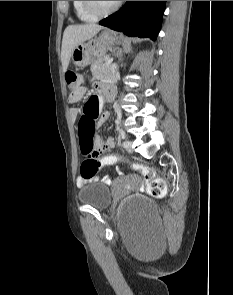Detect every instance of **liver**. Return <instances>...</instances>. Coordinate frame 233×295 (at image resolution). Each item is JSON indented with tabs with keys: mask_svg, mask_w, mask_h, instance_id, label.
I'll return each mask as SVG.
<instances>
[{
	"mask_svg": "<svg viewBox=\"0 0 233 295\" xmlns=\"http://www.w3.org/2000/svg\"><path fill=\"white\" fill-rule=\"evenodd\" d=\"M103 27L97 24L69 25L63 34L61 62L63 72L67 71L73 49L80 43L93 38Z\"/></svg>",
	"mask_w": 233,
	"mask_h": 295,
	"instance_id": "1",
	"label": "liver"
}]
</instances>
